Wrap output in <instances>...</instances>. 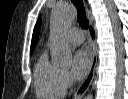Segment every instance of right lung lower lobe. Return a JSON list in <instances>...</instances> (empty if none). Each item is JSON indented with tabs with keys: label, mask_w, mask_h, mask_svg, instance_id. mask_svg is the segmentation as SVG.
Here are the masks:
<instances>
[{
	"label": "right lung lower lobe",
	"mask_w": 128,
	"mask_h": 99,
	"mask_svg": "<svg viewBox=\"0 0 128 99\" xmlns=\"http://www.w3.org/2000/svg\"><path fill=\"white\" fill-rule=\"evenodd\" d=\"M90 31H91V34H92V36H93L94 32H93L92 28L90 29Z\"/></svg>",
	"instance_id": "right-lung-lower-lobe-1"
}]
</instances>
